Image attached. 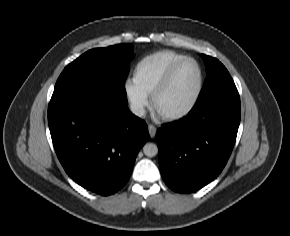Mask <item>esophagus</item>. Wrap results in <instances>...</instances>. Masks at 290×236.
Returning <instances> with one entry per match:
<instances>
[{
  "label": "esophagus",
  "mask_w": 290,
  "mask_h": 236,
  "mask_svg": "<svg viewBox=\"0 0 290 236\" xmlns=\"http://www.w3.org/2000/svg\"><path fill=\"white\" fill-rule=\"evenodd\" d=\"M156 131H157V129L154 125H152V124L148 125V132H149V135L151 138H153L155 136Z\"/></svg>",
  "instance_id": "34e87169"
}]
</instances>
